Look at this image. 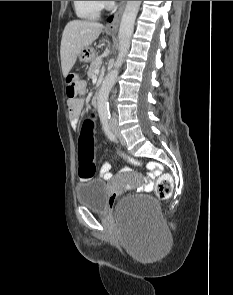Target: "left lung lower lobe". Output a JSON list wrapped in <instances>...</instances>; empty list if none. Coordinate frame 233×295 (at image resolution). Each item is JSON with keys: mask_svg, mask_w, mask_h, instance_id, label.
<instances>
[{"mask_svg": "<svg viewBox=\"0 0 233 295\" xmlns=\"http://www.w3.org/2000/svg\"><path fill=\"white\" fill-rule=\"evenodd\" d=\"M111 20H112V17L111 18H109V21L111 22Z\"/></svg>", "mask_w": 233, "mask_h": 295, "instance_id": "1", "label": "left lung lower lobe"}]
</instances>
